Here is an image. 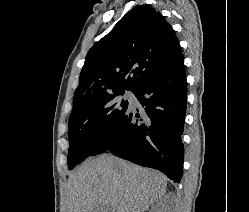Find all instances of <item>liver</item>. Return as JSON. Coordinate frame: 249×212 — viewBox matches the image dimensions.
Instances as JSON below:
<instances>
[{"label":"liver","mask_w":249,"mask_h":212,"mask_svg":"<svg viewBox=\"0 0 249 212\" xmlns=\"http://www.w3.org/2000/svg\"><path fill=\"white\" fill-rule=\"evenodd\" d=\"M167 178L160 172L102 154L87 158L69 176L67 212H146L164 196Z\"/></svg>","instance_id":"1"}]
</instances>
